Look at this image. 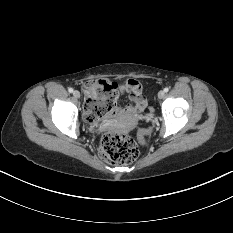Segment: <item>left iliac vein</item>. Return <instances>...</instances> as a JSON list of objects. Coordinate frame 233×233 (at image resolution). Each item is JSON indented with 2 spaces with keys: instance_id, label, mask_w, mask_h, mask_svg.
<instances>
[{
  "instance_id": "1",
  "label": "left iliac vein",
  "mask_w": 233,
  "mask_h": 233,
  "mask_svg": "<svg viewBox=\"0 0 233 233\" xmlns=\"http://www.w3.org/2000/svg\"><path fill=\"white\" fill-rule=\"evenodd\" d=\"M165 96V92L163 90L158 92V98L162 99Z\"/></svg>"
}]
</instances>
